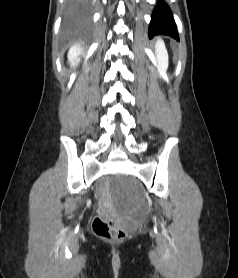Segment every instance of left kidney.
Segmentation results:
<instances>
[{"label":"left kidney","mask_w":238,"mask_h":278,"mask_svg":"<svg viewBox=\"0 0 238 278\" xmlns=\"http://www.w3.org/2000/svg\"><path fill=\"white\" fill-rule=\"evenodd\" d=\"M155 54L157 58V69L159 75L165 77L168 68V53L163 41L159 40L155 45Z\"/></svg>","instance_id":"1"}]
</instances>
